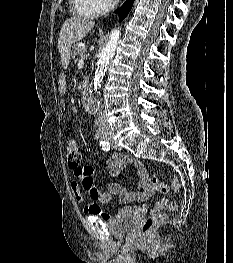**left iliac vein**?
Listing matches in <instances>:
<instances>
[{
	"label": "left iliac vein",
	"mask_w": 233,
	"mask_h": 263,
	"mask_svg": "<svg viewBox=\"0 0 233 263\" xmlns=\"http://www.w3.org/2000/svg\"><path fill=\"white\" fill-rule=\"evenodd\" d=\"M109 141L114 149L121 150V147L113 140L112 137L109 138Z\"/></svg>",
	"instance_id": "left-iliac-vein-1"
}]
</instances>
